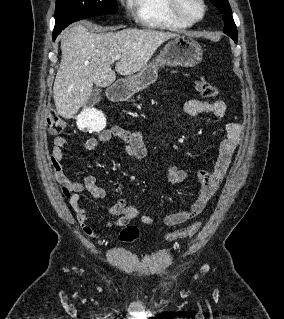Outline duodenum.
Masks as SVG:
<instances>
[{
    "label": "duodenum",
    "mask_w": 284,
    "mask_h": 319,
    "mask_svg": "<svg viewBox=\"0 0 284 319\" xmlns=\"http://www.w3.org/2000/svg\"><path fill=\"white\" fill-rule=\"evenodd\" d=\"M129 96V91L124 86H113L109 90V97L114 102H120Z\"/></svg>",
    "instance_id": "obj_1"
}]
</instances>
